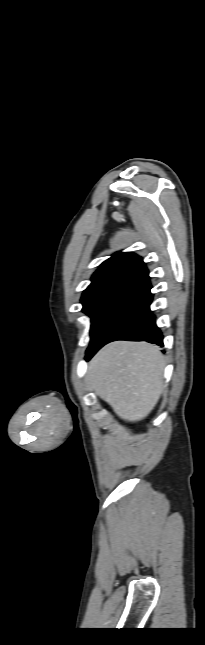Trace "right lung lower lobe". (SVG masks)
I'll return each mask as SVG.
<instances>
[{"label":"right lung lower lobe","mask_w":205,"mask_h":645,"mask_svg":"<svg viewBox=\"0 0 205 645\" xmlns=\"http://www.w3.org/2000/svg\"><path fill=\"white\" fill-rule=\"evenodd\" d=\"M151 301H152V294H151ZM151 301L131 320H129L117 331H115L104 342L103 345L115 340H129V341H147L150 343H155L159 346H163L162 333L160 329L156 326L155 316L151 313V310H150ZM96 351L93 350L87 353L86 358L90 359L96 353Z\"/></svg>","instance_id":"1"}]
</instances>
